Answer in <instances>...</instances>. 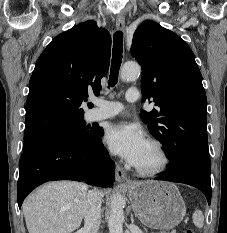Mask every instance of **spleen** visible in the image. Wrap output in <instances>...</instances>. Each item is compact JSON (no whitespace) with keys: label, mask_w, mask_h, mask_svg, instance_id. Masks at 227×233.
Returning <instances> with one entry per match:
<instances>
[{"label":"spleen","mask_w":227,"mask_h":233,"mask_svg":"<svg viewBox=\"0 0 227 233\" xmlns=\"http://www.w3.org/2000/svg\"><path fill=\"white\" fill-rule=\"evenodd\" d=\"M193 222L196 227L201 228L204 223V216L203 213L200 210H196L193 213Z\"/></svg>","instance_id":"obj_1"}]
</instances>
